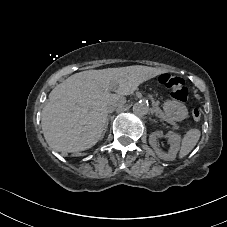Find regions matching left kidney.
Listing matches in <instances>:
<instances>
[{"mask_svg":"<svg viewBox=\"0 0 227 227\" xmlns=\"http://www.w3.org/2000/svg\"><path fill=\"white\" fill-rule=\"evenodd\" d=\"M161 135L162 131H155L151 133L149 135V144L155 151L157 157H159L161 160L173 161L176 158V154L179 149L180 137L174 132H165V137L167 138L168 144L170 145V150L168 153H165L157 147V138Z\"/></svg>","mask_w":227,"mask_h":227,"instance_id":"left-kidney-1","label":"left kidney"}]
</instances>
